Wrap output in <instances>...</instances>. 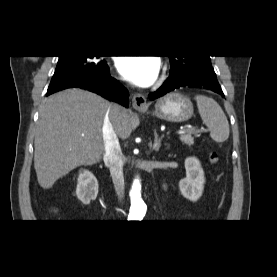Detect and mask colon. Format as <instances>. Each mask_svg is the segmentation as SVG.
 <instances>
[{
    "label": "colon",
    "instance_id": "5ec220e1",
    "mask_svg": "<svg viewBox=\"0 0 277 277\" xmlns=\"http://www.w3.org/2000/svg\"><path fill=\"white\" fill-rule=\"evenodd\" d=\"M211 159H212L213 161L217 160V154H216L215 152L212 153Z\"/></svg>",
    "mask_w": 277,
    "mask_h": 277
}]
</instances>
